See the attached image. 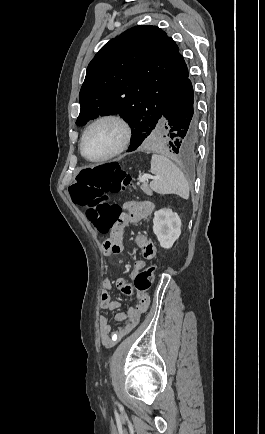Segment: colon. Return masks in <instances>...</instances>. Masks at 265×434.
<instances>
[{
    "instance_id": "1",
    "label": "colon",
    "mask_w": 265,
    "mask_h": 434,
    "mask_svg": "<svg viewBox=\"0 0 265 434\" xmlns=\"http://www.w3.org/2000/svg\"><path fill=\"white\" fill-rule=\"evenodd\" d=\"M106 163L85 164L84 168H79L72 184L67 185L69 201L84 204L88 219L101 235L112 234L121 214L119 204L110 202L107 193H121L132 185L131 176L118 165L116 159H108ZM153 269H156V265L150 263L139 270L134 278L136 298L139 301L144 302L142 296L148 295L155 281ZM138 321L139 319H124L121 333L135 326Z\"/></svg>"
}]
</instances>
